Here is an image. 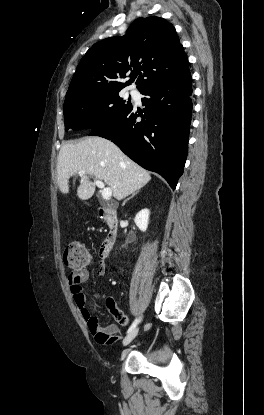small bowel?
I'll return each mask as SVG.
<instances>
[{
    "label": "small bowel",
    "mask_w": 264,
    "mask_h": 415,
    "mask_svg": "<svg viewBox=\"0 0 264 415\" xmlns=\"http://www.w3.org/2000/svg\"><path fill=\"white\" fill-rule=\"evenodd\" d=\"M106 271V265L103 261L99 262L98 268L96 270L97 276H104ZM89 277V272L87 268H78L69 278V288L71 295L73 296L76 304L81 309L82 315L87 321L89 331L94 336L96 342L104 347L111 346L117 342L120 338L117 336L118 327L115 324H108L101 326L98 323V317L95 315H90L85 309V299L81 284L84 283ZM109 309H112V301L107 302ZM128 316H122L121 324L126 326L129 323Z\"/></svg>",
    "instance_id": "small-bowel-1"
}]
</instances>
